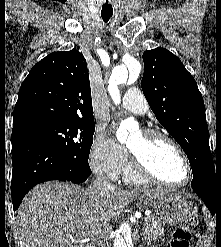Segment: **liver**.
Segmentation results:
<instances>
[{
    "instance_id": "6515ba94",
    "label": "liver",
    "mask_w": 221,
    "mask_h": 247,
    "mask_svg": "<svg viewBox=\"0 0 221 247\" xmlns=\"http://www.w3.org/2000/svg\"><path fill=\"white\" fill-rule=\"evenodd\" d=\"M135 194L155 199L167 191L115 188L101 196L93 188L45 182L35 186L23 199L18 225L28 247H83L84 239L99 241L109 235L111 220L124 211Z\"/></svg>"
}]
</instances>
